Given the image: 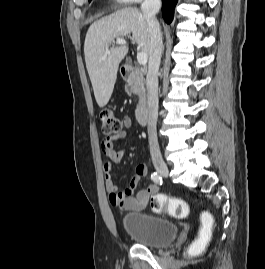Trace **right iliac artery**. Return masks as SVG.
Listing matches in <instances>:
<instances>
[{"mask_svg":"<svg viewBox=\"0 0 265 269\" xmlns=\"http://www.w3.org/2000/svg\"><path fill=\"white\" fill-rule=\"evenodd\" d=\"M151 179H152L155 183H157V184H159V185H162V177H161L157 172H153V173L151 174Z\"/></svg>","mask_w":265,"mask_h":269,"instance_id":"right-iliac-artery-1","label":"right iliac artery"}]
</instances>
